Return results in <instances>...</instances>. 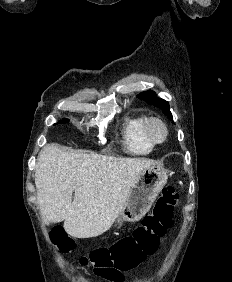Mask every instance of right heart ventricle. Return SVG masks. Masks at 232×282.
<instances>
[{
  "instance_id": "obj_1",
  "label": "right heart ventricle",
  "mask_w": 232,
  "mask_h": 282,
  "mask_svg": "<svg viewBox=\"0 0 232 282\" xmlns=\"http://www.w3.org/2000/svg\"><path fill=\"white\" fill-rule=\"evenodd\" d=\"M146 118L143 114L127 113L122 119L121 144L129 155L144 156L153 151L154 145L143 134Z\"/></svg>"
}]
</instances>
